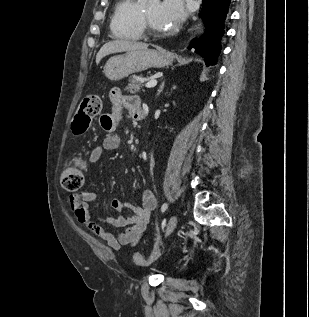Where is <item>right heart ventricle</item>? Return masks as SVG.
<instances>
[{"instance_id":"right-heart-ventricle-1","label":"right heart ventricle","mask_w":309,"mask_h":317,"mask_svg":"<svg viewBox=\"0 0 309 317\" xmlns=\"http://www.w3.org/2000/svg\"><path fill=\"white\" fill-rule=\"evenodd\" d=\"M138 0H119L114 8L110 28L114 37L124 40H139L144 30L140 22Z\"/></svg>"}]
</instances>
